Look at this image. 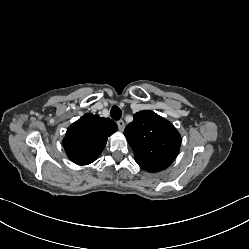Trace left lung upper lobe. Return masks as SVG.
<instances>
[{
  "label": "left lung upper lobe",
  "instance_id": "obj_1",
  "mask_svg": "<svg viewBox=\"0 0 249 249\" xmlns=\"http://www.w3.org/2000/svg\"><path fill=\"white\" fill-rule=\"evenodd\" d=\"M137 164L148 172L169 167L178 155L181 137L168 120L150 110L134 115L124 130Z\"/></svg>",
  "mask_w": 249,
  "mask_h": 249
}]
</instances>
